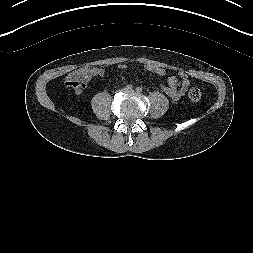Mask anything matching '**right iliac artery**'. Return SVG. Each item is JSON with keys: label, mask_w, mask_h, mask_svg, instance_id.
I'll return each instance as SVG.
<instances>
[{"label": "right iliac artery", "mask_w": 253, "mask_h": 253, "mask_svg": "<svg viewBox=\"0 0 253 253\" xmlns=\"http://www.w3.org/2000/svg\"><path fill=\"white\" fill-rule=\"evenodd\" d=\"M132 88H133V87H132L131 84H129V85L126 86V89H127V90H131Z\"/></svg>", "instance_id": "right-iliac-artery-1"}]
</instances>
